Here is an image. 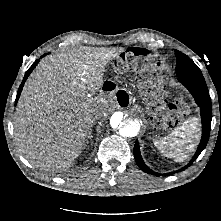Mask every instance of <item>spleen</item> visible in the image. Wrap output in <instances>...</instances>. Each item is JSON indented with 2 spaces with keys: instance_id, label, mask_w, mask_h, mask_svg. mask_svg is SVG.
I'll use <instances>...</instances> for the list:
<instances>
[{
  "instance_id": "obj_1",
  "label": "spleen",
  "mask_w": 221,
  "mask_h": 221,
  "mask_svg": "<svg viewBox=\"0 0 221 221\" xmlns=\"http://www.w3.org/2000/svg\"><path fill=\"white\" fill-rule=\"evenodd\" d=\"M199 131L198 119L193 117L185 120L168 136L155 139L154 145L164 156L182 162L196 146L200 137Z\"/></svg>"
}]
</instances>
